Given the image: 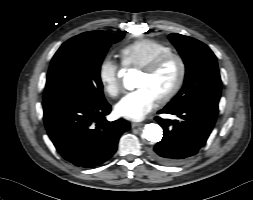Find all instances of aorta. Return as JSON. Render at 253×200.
Here are the masks:
<instances>
[{"label": "aorta", "instance_id": "aorta-1", "mask_svg": "<svg viewBox=\"0 0 253 200\" xmlns=\"http://www.w3.org/2000/svg\"><path fill=\"white\" fill-rule=\"evenodd\" d=\"M123 83L126 89L132 90L135 87L133 77L126 75L123 79ZM162 128L158 124L150 123L144 127L143 137L150 142H159L162 138Z\"/></svg>", "mask_w": 253, "mask_h": 200}]
</instances>
